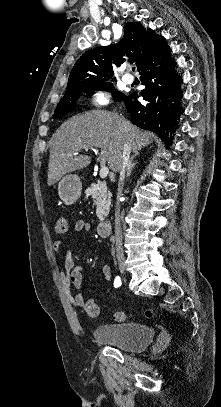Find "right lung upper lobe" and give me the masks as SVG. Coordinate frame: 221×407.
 <instances>
[{"label":"right lung upper lobe","mask_w":221,"mask_h":407,"mask_svg":"<svg viewBox=\"0 0 221 407\" xmlns=\"http://www.w3.org/2000/svg\"><path fill=\"white\" fill-rule=\"evenodd\" d=\"M165 45V39L153 30L146 32L139 23H127L118 44L91 49L80 57L70 73L66 92L107 83L114 74L112 67L124 63L125 57L140 71Z\"/></svg>","instance_id":"right-lung-upper-lobe-1"}]
</instances>
